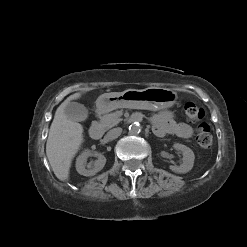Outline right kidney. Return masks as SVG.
Instances as JSON below:
<instances>
[{
    "mask_svg": "<svg viewBox=\"0 0 247 247\" xmlns=\"http://www.w3.org/2000/svg\"><path fill=\"white\" fill-rule=\"evenodd\" d=\"M90 156L97 157V160H95L93 163H89L86 168L87 158ZM105 163L106 158L103 154L85 150L83 153H81V155L78 156L76 160V170L83 176H94L97 172L103 169Z\"/></svg>",
    "mask_w": 247,
    "mask_h": 247,
    "instance_id": "1",
    "label": "right kidney"
}]
</instances>
